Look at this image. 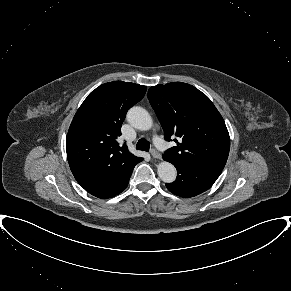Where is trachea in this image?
<instances>
[{
	"instance_id": "trachea-1",
	"label": "trachea",
	"mask_w": 291,
	"mask_h": 291,
	"mask_svg": "<svg viewBox=\"0 0 291 291\" xmlns=\"http://www.w3.org/2000/svg\"><path fill=\"white\" fill-rule=\"evenodd\" d=\"M136 149L148 152L150 149V143L146 139L141 138L136 144Z\"/></svg>"
}]
</instances>
